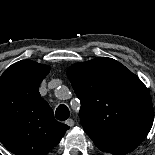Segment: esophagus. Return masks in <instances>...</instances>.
<instances>
[{
	"mask_svg": "<svg viewBox=\"0 0 155 155\" xmlns=\"http://www.w3.org/2000/svg\"><path fill=\"white\" fill-rule=\"evenodd\" d=\"M69 127H73L75 122L73 119H68L66 122H65Z\"/></svg>",
	"mask_w": 155,
	"mask_h": 155,
	"instance_id": "34e87169",
	"label": "esophagus"
}]
</instances>
